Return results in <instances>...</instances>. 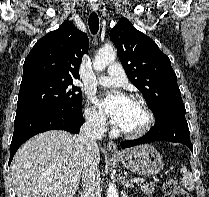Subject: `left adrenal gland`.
<instances>
[{
    "instance_id": "1",
    "label": "left adrenal gland",
    "mask_w": 209,
    "mask_h": 197,
    "mask_svg": "<svg viewBox=\"0 0 209 197\" xmlns=\"http://www.w3.org/2000/svg\"><path fill=\"white\" fill-rule=\"evenodd\" d=\"M123 185H124V189L126 188H134V185L132 183L129 182V180H127V178H123Z\"/></svg>"
}]
</instances>
